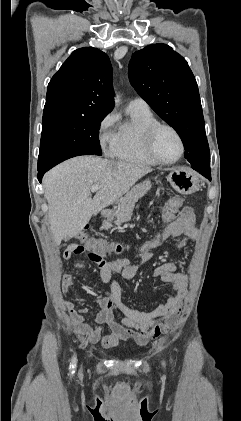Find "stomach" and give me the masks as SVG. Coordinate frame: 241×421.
Returning a JSON list of instances; mask_svg holds the SVG:
<instances>
[{
	"mask_svg": "<svg viewBox=\"0 0 241 421\" xmlns=\"http://www.w3.org/2000/svg\"><path fill=\"white\" fill-rule=\"evenodd\" d=\"M171 186L181 194H191L199 187V179L196 173L188 168L172 169L167 176ZM156 183H161L155 178ZM111 216V214H110Z\"/></svg>",
	"mask_w": 241,
	"mask_h": 421,
	"instance_id": "obj_1",
	"label": "stomach"
}]
</instances>
